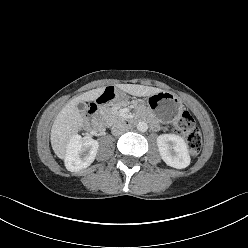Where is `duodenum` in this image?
<instances>
[{
    "instance_id": "duodenum-1",
    "label": "duodenum",
    "mask_w": 248,
    "mask_h": 248,
    "mask_svg": "<svg viewBox=\"0 0 248 248\" xmlns=\"http://www.w3.org/2000/svg\"><path fill=\"white\" fill-rule=\"evenodd\" d=\"M117 98V89L114 86L106 87L102 90L100 95H97L94 100L88 102L89 115L91 120V125L94 129L100 130L103 127V115L102 107ZM126 125L131 126L136 122L133 117H126L124 119ZM151 125L154 128L158 127L155 121H151Z\"/></svg>"
}]
</instances>
